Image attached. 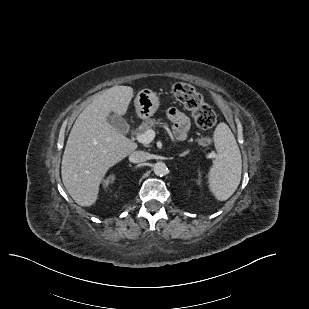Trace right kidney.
<instances>
[{
	"label": "right kidney",
	"mask_w": 309,
	"mask_h": 309,
	"mask_svg": "<svg viewBox=\"0 0 309 309\" xmlns=\"http://www.w3.org/2000/svg\"><path fill=\"white\" fill-rule=\"evenodd\" d=\"M114 181V176H110L108 177L105 181H104V185L105 186H108L109 183L113 182Z\"/></svg>",
	"instance_id": "right-kidney-1"
}]
</instances>
